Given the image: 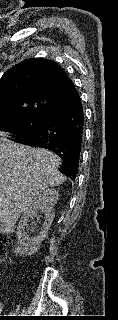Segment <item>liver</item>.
<instances>
[{
    "label": "liver",
    "instance_id": "6515ba94",
    "mask_svg": "<svg viewBox=\"0 0 118 320\" xmlns=\"http://www.w3.org/2000/svg\"><path fill=\"white\" fill-rule=\"evenodd\" d=\"M61 158L43 148L15 143L0 132V221L11 227L34 198L66 181Z\"/></svg>",
    "mask_w": 118,
    "mask_h": 320
}]
</instances>
